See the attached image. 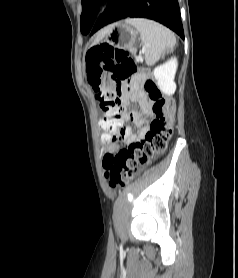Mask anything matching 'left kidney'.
Here are the masks:
<instances>
[{
    "label": "left kidney",
    "mask_w": 238,
    "mask_h": 278,
    "mask_svg": "<svg viewBox=\"0 0 238 278\" xmlns=\"http://www.w3.org/2000/svg\"><path fill=\"white\" fill-rule=\"evenodd\" d=\"M177 66V59L172 57L166 63L155 67L153 70L159 89L166 95H173L175 93L176 84L174 78Z\"/></svg>",
    "instance_id": "left-kidney-1"
}]
</instances>
